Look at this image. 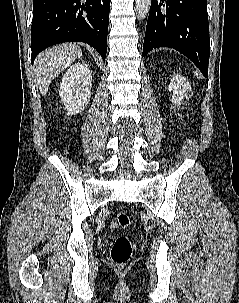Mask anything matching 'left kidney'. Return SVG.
<instances>
[{
	"instance_id": "obj_1",
	"label": "left kidney",
	"mask_w": 239,
	"mask_h": 303,
	"mask_svg": "<svg viewBox=\"0 0 239 303\" xmlns=\"http://www.w3.org/2000/svg\"><path fill=\"white\" fill-rule=\"evenodd\" d=\"M168 90L173 92L171 102L177 105H180L184 98L189 99L193 96L190 83L178 74L171 78Z\"/></svg>"
}]
</instances>
